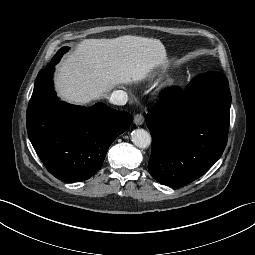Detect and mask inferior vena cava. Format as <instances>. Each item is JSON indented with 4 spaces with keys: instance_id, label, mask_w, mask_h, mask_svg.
Listing matches in <instances>:
<instances>
[{
    "instance_id": "inferior-vena-cava-1",
    "label": "inferior vena cava",
    "mask_w": 255,
    "mask_h": 255,
    "mask_svg": "<svg viewBox=\"0 0 255 255\" xmlns=\"http://www.w3.org/2000/svg\"><path fill=\"white\" fill-rule=\"evenodd\" d=\"M109 101L114 105H125L128 101V95L123 90H115L112 92Z\"/></svg>"
}]
</instances>
